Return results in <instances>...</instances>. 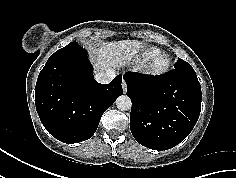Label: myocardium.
<instances>
[{
  "label": "myocardium",
  "instance_id": "1",
  "mask_svg": "<svg viewBox=\"0 0 236 178\" xmlns=\"http://www.w3.org/2000/svg\"><path fill=\"white\" fill-rule=\"evenodd\" d=\"M170 58L166 54H159L141 66L142 72L151 77H158L167 72Z\"/></svg>",
  "mask_w": 236,
  "mask_h": 178
}]
</instances>
